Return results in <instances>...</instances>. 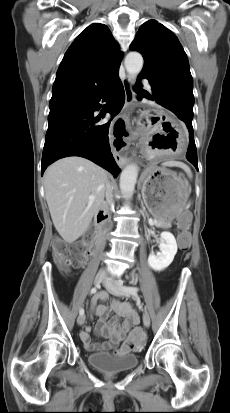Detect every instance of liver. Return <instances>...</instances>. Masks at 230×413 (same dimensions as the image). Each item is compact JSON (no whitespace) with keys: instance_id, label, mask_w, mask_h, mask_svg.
<instances>
[{"instance_id":"liver-1","label":"liver","mask_w":230,"mask_h":413,"mask_svg":"<svg viewBox=\"0 0 230 413\" xmlns=\"http://www.w3.org/2000/svg\"><path fill=\"white\" fill-rule=\"evenodd\" d=\"M108 183L106 170L78 156L62 158L47 168L45 197L53 224L65 242L82 236L93 216L105 206Z\"/></svg>"}]
</instances>
